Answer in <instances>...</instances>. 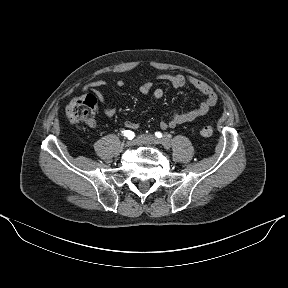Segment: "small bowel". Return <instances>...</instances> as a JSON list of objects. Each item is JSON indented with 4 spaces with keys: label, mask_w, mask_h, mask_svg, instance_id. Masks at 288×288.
<instances>
[{
    "label": "small bowel",
    "mask_w": 288,
    "mask_h": 288,
    "mask_svg": "<svg viewBox=\"0 0 288 288\" xmlns=\"http://www.w3.org/2000/svg\"><path fill=\"white\" fill-rule=\"evenodd\" d=\"M159 79L169 82L172 86L175 88L184 87L186 85H191L195 89H197L199 92H201L204 95V100L191 110L187 112H181L174 110L172 112L171 117L168 120H163L160 122V127L162 129H168V128H174L180 124L191 122L197 118L203 117L206 114L209 113L212 107L215 106L217 102V95L214 92V90L206 84L204 81L195 78L193 76L189 75H171V74H160L158 76ZM106 85V81L104 80H96L93 82H90L85 86V91H91L93 92L103 106V111L108 116H113L116 113V109L109 104L106 103L105 98L100 91V88L104 87ZM125 85L124 80H118L116 82L117 87H123ZM140 91L144 95L152 94L156 99H160L164 95V91L160 87H153V85L149 82L144 83L140 87ZM90 127L95 126V122L92 121L88 123ZM124 126L131 130H137L139 128V124L132 120H127L124 124Z\"/></svg>",
    "instance_id": "obj_1"
}]
</instances>
